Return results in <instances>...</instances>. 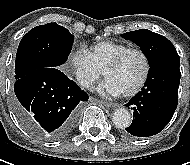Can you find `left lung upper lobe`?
<instances>
[{
	"mask_svg": "<svg viewBox=\"0 0 190 165\" xmlns=\"http://www.w3.org/2000/svg\"><path fill=\"white\" fill-rule=\"evenodd\" d=\"M121 36L126 40H131L141 48L150 66L165 58L178 55L175 47L167 38L150 30L131 31Z\"/></svg>",
	"mask_w": 190,
	"mask_h": 165,
	"instance_id": "obj_1",
	"label": "left lung upper lobe"
}]
</instances>
